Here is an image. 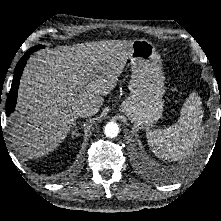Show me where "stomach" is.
I'll return each instance as SVG.
<instances>
[{
	"mask_svg": "<svg viewBox=\"0 0 221 221\" xmlns=\"http://www.w3.org/2000/svg\"><path fill=\"white\" fill-rule=\"evenodd\" d=\"M129 58L132 69L130 95L119 111L136 127L146 128L156 123L163 113L165 87L161 57L150 41L136 39Z\"/></svg>",
	"mask_w": 221,
	"mask_h": 221,
	"instance_id": "1",
	"label": "stomach"
}]
</instances>
